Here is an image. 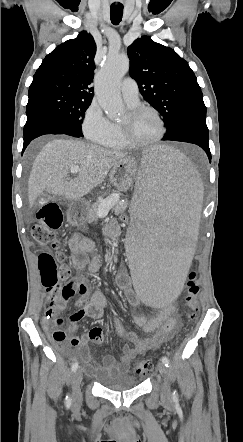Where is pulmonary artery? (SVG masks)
I'll return each mask as SVG.
<instances>
[{"mask_svg": "<svg viewBox=\"0 0 243 442\" xmlns=\"http://www.w3.org/2000/svg\"><path fill=\"white\" fill-rule=\"evenodd\" d=\"M121 93L124 100L129 105H137L139 102V91L138 85L132 78H126L122 81L121 84Z\"/></svg>", "mask_w": 243, "mask_h": 442, "instance_id": "obj_1", "label": "pulmonary artery"}]
</instances>
